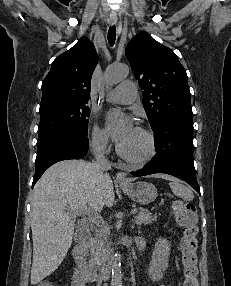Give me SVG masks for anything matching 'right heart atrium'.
Wrapping results in <instances>:
<instances>
[{
  "label": "right heart atrium",
  "mask_w": 231,
  "mask_h": 286,
  "mask_svg": "<svg viewBox=\"0 0 231 286\" xmlns=\"http://www.w3.org/2000/svg\"><path fill=\"white\" fill-rule=\"evenodd\" d=\"M90 146L99 153L107 152L110 146L108 133L96 123L92 127Z\"/></svg>",
  "instance_id": "1"
}]
</instances>
